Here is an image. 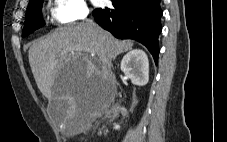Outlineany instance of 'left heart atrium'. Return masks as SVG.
<instances>
[{
    "instance_id": "1",
    "label": "left heart atrium",
    "mask_w": 227,
    "mask_h": 142,
    "mask_svg": "<svg viewBox=\"0 0 227 142\" xmlns=\"http://www.w3.org/2000/svg\"><path fill=\"white\" fill-rule=\"evenodd\" d=\"M94 4L99 5L101 4L102 0H92Z\"/></svg>"
}]
</instances>
